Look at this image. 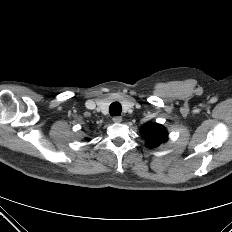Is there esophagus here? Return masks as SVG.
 <instances>
[{
    "label": "esophagus",
    "mask_w": 232,
    "mask_h": 232,
    "mask_svg": "<svg viewBox=\"0 0 232 232\" xmlns=\"http://www.w3.org/2000/svg\"><path fill=\"white\" fill-rule=\"evenodd\" d=\"M112 120H113V122H115V123H120V122H122V117H121V116H114V117L112 118Z\"/></svg>",
    "instance_id": "1"
}]
</instances>
